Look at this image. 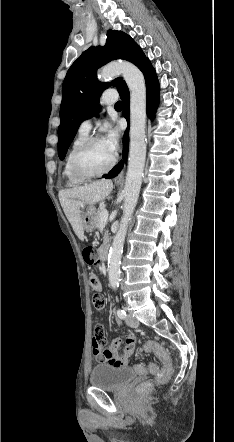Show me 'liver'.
Here are the masks:
<instances>
[{
    "label": "liver",
    "instance_id": "obj_1",
    "mask_svg": "<svg viewBox=\"0 0 234 442\" xmlns=\"http://www.w3.org/2000/svg\"><path fill=\"white\" fill-rule=\"evenodd\" d=\"M111 180H99L88 185L61 190L59 200L76 236L83 241L84 229L81 222V208L94 205L105 199L112 191Z\"/></svg>",
    "mask_w": 234,
    "mask_h": 442
}]
</instances>
